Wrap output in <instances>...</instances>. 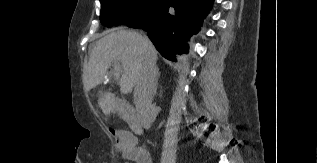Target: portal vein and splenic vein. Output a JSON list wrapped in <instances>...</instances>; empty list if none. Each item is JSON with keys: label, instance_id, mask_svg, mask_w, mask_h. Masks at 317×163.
I'll return each instance as SVG.
<instances>
[{"label": "portal vein and splenic vein", "instance_id": "18ae733b", "mask_svg": "<svg viewBox=\"0 0 317 163\" xmlns=\"http://www.w3.org/2000/svg\"><path fill=\"white\" fill-rule=\"evenodd\" d=\"M120 74H121L120 63L118 61H114L112 75H113L114 78H119Z\"/></svg>", "mask_w": 317, "mask_h": 163}]
</instances>
